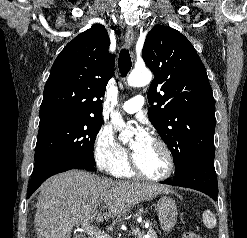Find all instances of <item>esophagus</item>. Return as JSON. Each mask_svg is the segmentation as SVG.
Wrapping results in <instances>:
<instances>
[{
  "mask_svg": "<svg viewBox=\"0 0 247 238\" xmlns=\"http://www.w3.org/2000/svg\"><path fill=\"white\" fill-rule=\"evenodd\" d=\"M125 43L127 47L131 48L134 44V32L131 27H127L125 33Z\"/></svg>",
  "mask_w": 247,
  "mask_h": 238,
  "instance_id": "34e87169",
  "label": "esophagus"
}]
</instances>
